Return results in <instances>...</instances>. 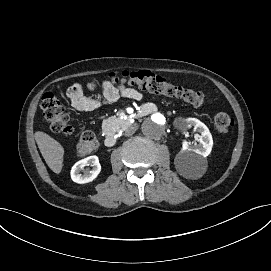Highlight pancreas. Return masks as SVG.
Masks as SVG:
<instances>
[{
  "mask_svg": "<svg viewBox=\"0 0 271 271\" xmlns=\"http://www.w3.org/2000/svg\"><path fill=\"white\" fill-rule=\"evenodd\" d=\"M125 124H126V121L124 119H121L119 121L115 117L112 116L103 121L102 128L104 131H108L109 128H112V127H114L116 130H119Z\"/></svg>",
  "mask_w": 271,
  "mask_h": 271,
  "instance_id": "cf45deb5",
  "label": "pancreas"
}]
</instances>
